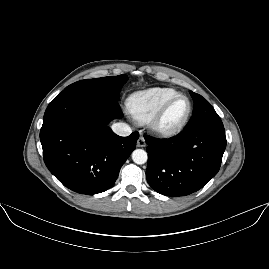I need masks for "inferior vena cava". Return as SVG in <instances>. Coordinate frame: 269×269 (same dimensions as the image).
<instances>
[{"instance_id":"1","label":"inferior vena cava","mask_w":269,"mask_h":269,"mask_svg":"<svg viewBox=\"0 0 269 269\" xmlns=\"http://www.w3.org/2000/svg\"><path fill=\"white\" fill-rule=\"evenodd\" d=\"M113 131L119 136H129L131 134V129L126 123H115L112 125Z\"/></svg>"}]
</instances>
